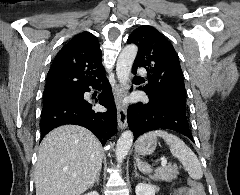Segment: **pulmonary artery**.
Instances as JSON below:
<instances>
[{"label": "pulmonary artery", "mask_w": 240, "mask_h": 195, "mask_svg": "<svg viewBox=\"0 0 240 195\" xmlns=\"http://www.w3.org/2000/svg\"><path fill=\"white\" fill-rule=\"evenodd\" d=\"M138 76H145V69H138L137 70Z\"/></svg>", "instance_id": "pulmonary-artery-1"}]
</instances>
